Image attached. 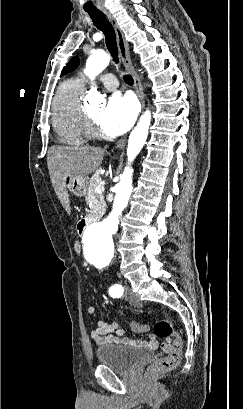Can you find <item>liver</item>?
<instances>
[{"instance_id": "1", "label": "liver", "mask_w": 243, "mask_h": 409, "mask_svg": "<svg viewBox=\"0 0 243 409\" xmlns=\"http://www.w3.org/2000/svg\"><path fill=\"white\" fill-rule=\"evenodd\" d=\"M101 147H65L55 145L48 150L47 165L52 186L65 211L70 214V200L64 186L66 176L79 177L93 173L102 163Z\"/></svg>"}]
</instances>
